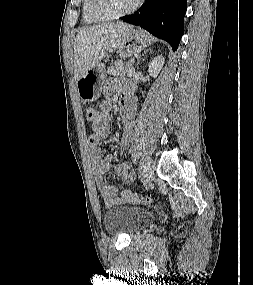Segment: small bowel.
I'll use <instances>...</instances> for the list:
<instances>
[{
    "instance_id": "small-bowel-1",
    "label": "small bowel",
    "mask_w": 253,
    "mask_h": 285,
    "mask_svg": "<svg viewBox=\"0 0 253 285\" xmlns=\"http://www.w3.org/2000/svg\"><path fill=\"white\" fill-rule=\"evenodd\" d=\"M132 92L133 86L131 84L124 83L116 78L108 79L103 87L104 95L106 97L116 95L120 105L123 124V134L120 142L122 151L128 149L133 138L135 106L131 99ZM112 109L113 105L110 101L105 100L101 102L100 111H96L95 118L91 121L94 134L88 139V145L91 148L95 184L107 208L127 201L124 196L126 190L117 185L107 184L103 179V175L108 172L111 167V156L104 155L98 148V145L101 140L107 138L110 133L109 113ZM130 170L131 166L129 163L118 164L114 167L115 174L123 183H130L133 180Z\"/></svg>"
}]
</instances>
